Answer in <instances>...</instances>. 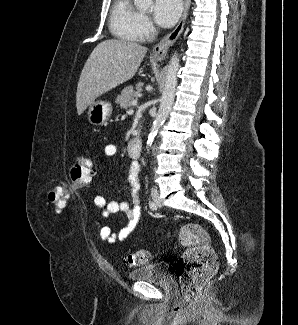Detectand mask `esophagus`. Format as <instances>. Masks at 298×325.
Segmentation results:
<instances>
[{
	"label": "esophagus",
	"instance_id": "1",
	"mask_svg": "<svg viewBox=\"0 0 298 325\" xmlns=\"http://www.w3.org/2000/svg\"><path fill=\"white\" fill-rule=\"evenodd\" d=\"M189 7L190 0H184V9L178 25L174 28V30H172V32L168 33V35H166L159 43H157V45H155L152 50V56L154 58L166 57L168 49L174 44V42H176L183 31Z\"/></svg>",
	"mask_w": 298,
	"mask_h": 325
}]
</instances>
